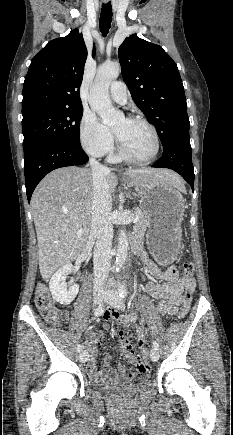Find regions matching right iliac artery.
I'll use <instances>...</instances> for the list:
<instances>
[{
  "mask_svg": "<svg viewBox=\"0 0 233 435\" xmlns=\"http://www.w3.org/2000/svg\"><path fill=\"white\" fill-rule=\"evenodd\" d=\"M102 313H103V306H102V305H99V306L95 309L94 316H95V317H98V316H100ZM81 350H82V345L79 343V344L77 345V352L80 353Z\"/></svg>",
  "mask_w": 233,
  "mask_h": 435,
  "instance_id": "1",
  "label": "right iliac artery"
}]
</instances>
